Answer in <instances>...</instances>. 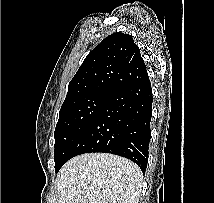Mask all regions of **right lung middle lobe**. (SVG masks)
<instances>
[{
	"label": "right lung middle lobe",
	"mask_w": 214,
	"mask_h": 203,
	"mask_svg": "<svg viewBox=\"0 0 214 203\" xmlns=\"http://www.w3.org/2000/svg\"><path fill=\"white\" fill-rule=\"evenodd\" d=\"M110 97L103 93H92L63 103L54 132L55 171L66 162L73 145L93 122Z\"/></svg>",
	"instance_id": "obj_1"
}]
</instances>
